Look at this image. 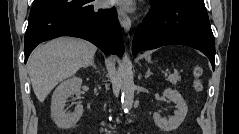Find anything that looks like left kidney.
I'll return each instance as SVG.
<instances>
[{"label": "left kidney", "mask_w": 239, "mask_h": 134, "mask_svg": "<svg viewBox=\"0 0 239 134\" xmlns=\"http://www.w3.org/2000/svg\"><path fill=\"white\" fill-rule=\"evenodd\" d=\"M163 95L176 104L177 110L175 111L174 116H171L168 120L162 118L157 112L153 114V119L155 124L161 130L169 132L177 129L184 121L187 115L188 107L181 94L176 90L166 89L164 90Z\"/></svg>", "instance_id": "obj_1"}]
</instances>
